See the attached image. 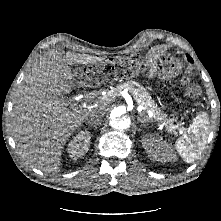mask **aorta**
<instances>
[{"instance_id":"aorta-1","label":"aorta","mask_w":221,"mask_h":221,"mask_svg":"<svg viewBox=\"0 0 221 221\" xmlns=\"http://www.w3.org/2000/svg\"><path fill=\"white\" fill-rule=\"evenodd\" d=\"M110 125L115 130L125 131L131 125V118L125 109L118 107L111 112Z\"/></svg>"}]
</instances>
